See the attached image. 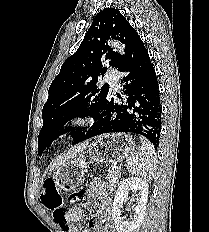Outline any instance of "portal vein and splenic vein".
I'll return each mask as SVG.
<instances>
[{"label":"portal vein and splenic vein","instance_id":"18ae733b","mask_svg":"<svg viewBox=\"0 0 209 232\" xmlns=\"http://www.w3.org/2000/svg\"><path fill=\"white\" fill-rule=\"evenodd\" d=\"M113 169H116L117 167L116 166H114V167H112Z\"/></svg>","mask_w":209,"mask_h":232}]
</instances>
